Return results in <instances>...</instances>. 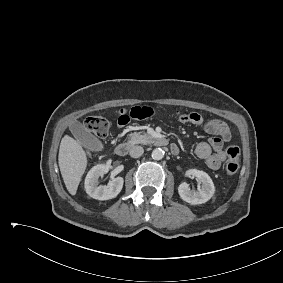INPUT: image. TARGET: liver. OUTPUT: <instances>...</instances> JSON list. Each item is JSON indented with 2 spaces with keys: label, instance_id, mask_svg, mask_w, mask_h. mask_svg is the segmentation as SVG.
I'll return each instance as SVG.
<instances>
[{
  "label": "liver",
  "instance_id": "6515ba94",
  "mask_svg": "<svg viewBox=\"0 0 283 283\" xmlns=\"http://www.w3.org/2000/svg\"><path fill=\"white\" fill-rule=\"evenodd\" d=\"M58 163L65 186L75 195L87 167V156L78 141L65 135L60 143Z\"/></svg>",
  "mask_w": 283,
  "mask_h": 283
}]
</instances>
